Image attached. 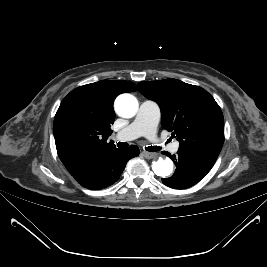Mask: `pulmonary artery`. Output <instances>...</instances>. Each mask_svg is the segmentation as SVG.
<instances>
[{
  "mask_svg": "<svg viewBox=\"0 0 267 267\" xmlns=\"http://www.w3.org/2000/svg\"><path fill=\"white\" fill-rule=\"evenodd\" d=\"M161 111L153 101L146 100L141 103L135 119L129 126L119 131L115 137L121 141H129L140 136H145L155 143L161 145L156 136V129L160 120ZM172 153H176L179 149V143L174 142L168 148Z\"/></svg>",
  "mask_w": 267,
  "mask_h": 267,
  "instance_id": "pulmonary-artery-1",
  "label": "pulmonary artery"
}]
</instances>
